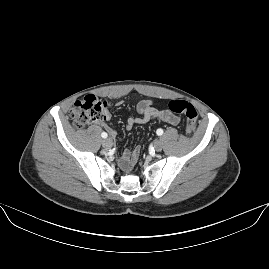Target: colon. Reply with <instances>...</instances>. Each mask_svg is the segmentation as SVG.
Instances as JSON below:
<instances>
[{"label":"colon","instance_id":"colon-1","mask_svg":"<svg viewBox=\"0 0 269 269\" xmlns=\"http://www.w3.org/2000/svg\"><path fill=\"white\" fill-rule=\"evenodd\" d=\"M114 104L115 101L111 97L106 98L103 102L90 94L75 102L69 112V117L76 128H83L89 124L101 121L103 114H109ZM168 108L173 113L186 116L187 122H189L184 131V136L189 138L192 135L191 127L195 125L194 120L198 115L193 105L185 100L173 99L168 103Z\"/></svg>","mask_w":269,"mask_h":269}]
</instances>
